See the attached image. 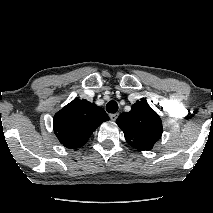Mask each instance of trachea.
<instances>
[{
    "label": "trachea",
    "instance_id": "3493384b",
    "mask_svg": "<svg viewBox=\"0 0 213 213\" xmlns=\"http://www.w3.org/2000/svg\"><path fill=\"white\" fill-rule=\"evenodd\" d=\"M106 110L108 113H116L118 111V104L116 101L111 100L106 105Z\"/></svg>",
    "mask_w": 213,
    "mask_h": 213
}]
</instances>
